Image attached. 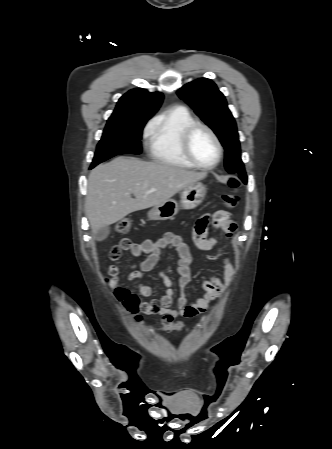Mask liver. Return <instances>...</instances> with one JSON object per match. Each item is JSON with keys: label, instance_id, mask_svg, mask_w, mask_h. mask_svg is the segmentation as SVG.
Masks as SVG:
<instances>
[{"label": "liver", "instance_id": "liver-1", "mask_svg": "<svg viewBox=\"0 0 332 449\" xmlns=\"http://www.w3.org/2000/svg\"><path fill=\"white\" fill-rule=\"evenodd\" d=\"M206 176L167 163L117 157L91 171L85 212L96 232L132 212L166 202Z\"/></svg>", "mask_w": 332, "mask_h": 449}]
</instances>
